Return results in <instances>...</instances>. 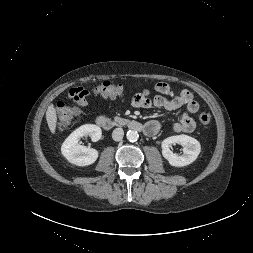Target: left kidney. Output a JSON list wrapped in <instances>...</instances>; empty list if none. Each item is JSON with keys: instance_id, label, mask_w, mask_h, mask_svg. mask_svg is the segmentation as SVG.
Instances as JSON below:
<instances>
[{"instance_id": "1", "label": "left kidney", "mask_w": 253, "mask_h": 253, "mask_svg": "<svg viewBox=\"0 0 253 253\" xmlns=\"http://www.w3.org/2000/svg\"><path fill=\"white\" fill-rule=\"evenodd\" d=\"M180 144L183 146V154L177 155L170 150L172 144ZM162 155L168 160L169 164L175 167H182L194 162L200 151L201 145L198 140L188 135H175L166 138L162 142Z\"/></svg>"}]
</instances>
